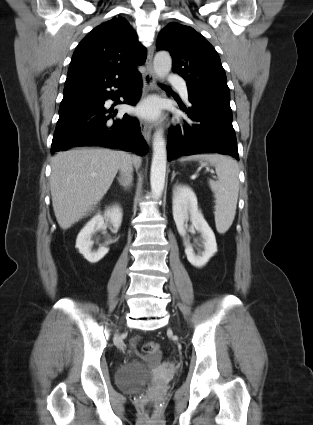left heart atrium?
I'll list each match as a JSON object with an SVG mask.
<instances>
[{"mask_svg":"<svg viewBox=\"0 0 313 425\" xmlns=\"http://www.w3.org/2000/svg\"><path fill=\"white\" fill-rule=\"evenodd\" d=\"M137 112L147 118H155L159 113V106L155 100H148L137 109Z\"/></svg>","mask_w":313,"mask_h":425,"instance_id":"1","label":"left heart atrium"}]
</instances>
